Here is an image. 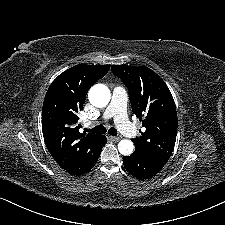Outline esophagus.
<instances>
[{
	"label": "esophagus",
	"mask_w": 225,
	"mask_h": 225,
	"mask_svg": "<svg viewBox=\"0 0 225 225\" xmlns=\"http://www.w3.org/2000/svg\"><path fill=\"white\" fill-rule=\"evenodd\" d=\"M109 138H110L111 140H113V141H119V140L122 139L121 136H109Z\"/></svg>",
	"instance_id": "1"
}]
</instances>
